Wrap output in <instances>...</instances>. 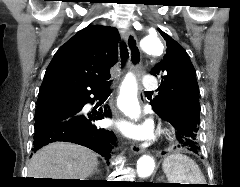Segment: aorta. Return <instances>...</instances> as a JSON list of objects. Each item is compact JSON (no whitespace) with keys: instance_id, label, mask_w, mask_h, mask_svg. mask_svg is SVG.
Returning <instances> with one entry per match:
<instances>
[{"instance_id":"obj_1","label":"aorta","mask_w":240,"mask_h":187,"mask_svg":"<svg viewBox=\"0 0 240 187\" xmlns=\"http://www.w3.org/2000/svg\"><path fill=\"white\" fill-rule=\"evenodd\" d=\"M141 51L150 56H160L163 53L164 46L160 37L156 34H149L142 37L140 41ZM137 82L132 73H128L120 88L118 97V106L125 115L130 118H138L140 106L137 99ZM155 168L154 159L144 155L137 161V173L141 178L149 177Z\"/></svg>"}]
</instances>
